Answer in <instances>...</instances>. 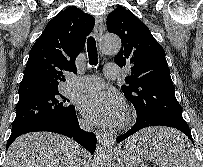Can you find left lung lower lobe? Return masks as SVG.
I'll list each match as a JSON object with an SVG mask.
<instances>
[{"instance_id":"obj_1","label":"left lung lower lobe","mask_w":203,"mask_h":167,"mask_svg":"<svg viewBox=\"0 0 203 167\" xmlns=\"http://www.w3.org/2000/svg\"><path fill=\"white\" fill-rule=\"evenodd\" d=\"M150 126H168V127L175 128V129L181 131L186 137L189 138L190 141L193 142L189 126L185 122L183 117H168V118H162V119L151 120V121H136L134 126L129 131H127L125 134L120 135L116 140H117V142H121L124 139H126L127 137H129L132 134L139 131L140 129L150 127ZM186 137H184L186 140L184 142V144L189 143L187 141ZM193 144H194V142H193ZM151 146L152 147L154 146L153 140H146V141L136 143L134 147L137 149L138 147L146 148V147H151Z\"/></svg>"}]
</instances>
